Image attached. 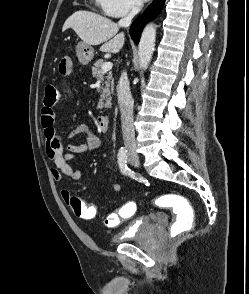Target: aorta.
I'll return each mask as SVG.
<instances>
[{"instance_id": "1", "label": "aorta", "mask_w": 249, "mask_h": 294, "mask_svg": "<svg viewBox=\"0 0 249 294\" xmlns=\"http://www.w3.org/2000/svg\"><path fill=\"white\" fill-rule=\"evenodd\" d=\"M156 40V26L148 24L144 28L140 42L138 45L139 65L140 68L146 70L151 61Z\"/></svg>"}]
</instances>
